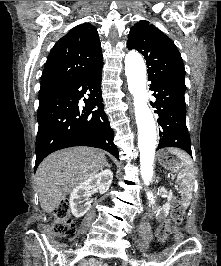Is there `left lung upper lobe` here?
Masks as SVG:
<instances>
[{
  "label": "left lung upper lobe",
  "instance_id": "left-lung-upper-lobe-1",
  "mask_svg": "<svg viewBox=\"0 0 221 266\" xmlns=\"http://www.w3.org/2000/svg\"><path fill=\"white\" fill-rule=\"evenodd\" d=\"M127 47L144 56L148 80H160L186 89L185 68L177 47L153 24L146 20L136 23L130 29Z\"/></svg>",
  "mask_w": 221,
  "mask_h": 266
}]
</instances>
